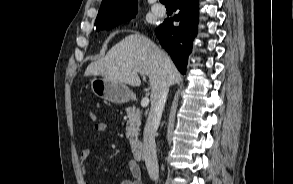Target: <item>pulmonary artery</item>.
<instances>
[{
  "instance_id": "1",
  "label": "pulmonary artery",
  "mask_w": 293,
  "mask_h": 184,
  "mask_svg": "<svg viewBox=\"0 0 293 184\" xmlns=\"http://www.w3.org/2000/svg\"><path fill=\"white\" fill-rule=\"evenodd\" d=\"M152 11L158 16H163L166 12V9L162 4L155 3L152 5Z\"/></svg>"
}]
</instances>
